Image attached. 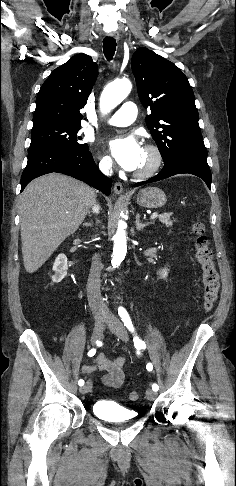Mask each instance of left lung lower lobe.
Here are the masks:
<instances>
[{
  "instance_id": "left-lung-lower-lobe-1",
  "label": "left lung lower lobe",
  "mask_w": 236,
  "mask_h": 486,
  "mask_svg": "<svg viewBox=\"0 0 236 486\" xmlns=\"http://www.w3.org/2000/svg\"><path fill=\"white\" fill-rule=\"evenodd\" d=\"M181 173H189L200 177L211 189L212 176L206 158L193 156H179L165 162L163 169L158 175L147 181L136 183L135 186L159 181Z\"/></svg>"
}]
</instances>
